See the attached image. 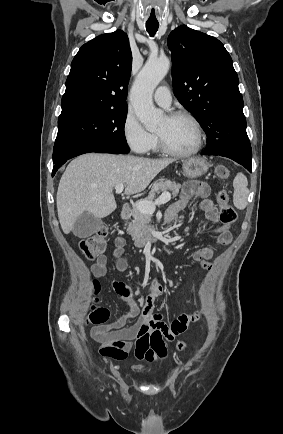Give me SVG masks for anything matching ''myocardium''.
Wrapping results in <instances>:
<instances>
[{
  "instance_id": "f54148a6",
  "label": "myocardium",
  "mask_w": 283,
  "mask_h": 434,
  "mask_svg": "<svg viewBox=\"0 0 283 434\" xmlns=\"http://www.w3.org/2000/svg\"><path fill=\"white\" fill-rule=\"evenodd\" d=\"M166 117L168 119L183 118V119L188 120L192 124V126L195 130L196 141H195V144H194L192 149H190L188 151H176V150H173L172 148H170L167 145V143L165 142V140L163 139V137L157 133V137H158V141H159V145H160L161 150L170 156L178 157V158H186V157H190V156L197 154L201 150L202 145H203V129H202L201 124L197 120V118L193 114H191L190 112L184 111V110L171 112Z\"/></svg>"
}]
</instances>
